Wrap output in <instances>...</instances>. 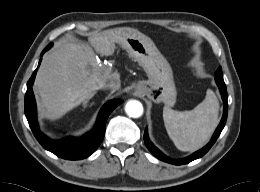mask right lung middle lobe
Returning a JSON list of instances; mask_svg holds the SVG:
<instances>
[{"label":"right lung middle lobe","instance_id":"obj_1","mask_svg":"<svg viewBox=\"0 0 260 192\" xmlns=\"http://www.w3.org/2000/svg\"><path fill=\"white\" fill-rule=\"evenodd\" d=\"M49 45H51V47H52V43H51V44H49ZM51 47H50V48H51ZM50 48H49V49H50Z\"/></svg>","mask_w":260,"mask_h":192}]
</instances>
